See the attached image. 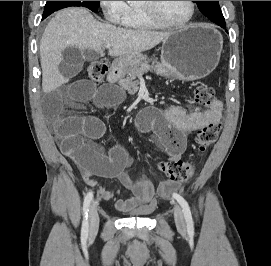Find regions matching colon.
I'll return each instance as SVG.
<instances>
[{"label": "colon", "instance_id": "1", "mask_svg": "<svg viewBox=\"0 0 271 266\" xmlns=\"http://www.w3.org/2000/svg\"><path fill=\"white\" fill-rule=\"evenodd\" d=\"M108 71L106 60H95L89 64V79L93 83H99ZM194 101L206 108H212L215 103V91L212 87L201 84L194 91ZM220 120L209 121L197 133L195 141L200 151L206 150L216 142L221 132ZM158 169L171 181H186L193 176L194 167L190 162L181 159H170L159 164Z\"/></svg>", "mask_w": 271, "mask_h": 266}]
</instances>
